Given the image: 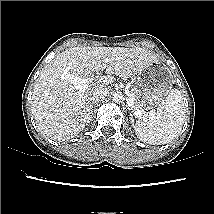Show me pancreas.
Masks as SVG:
<instances>
[{
    "mask_svg": "<svg viewBox=\"0 0 214 214\" xmlns=\"http://www.w3.org/2000/svg\"><path fill=\"white\" fill-rule=\"evenodd\" d=\"M132 97L134 98V92H132ZM130 107H131V109H132L133 112H135V111H137V110L140 109L139 107H137V106L135 105V103H134L132 106H130Z\"/></svg>",
    "mask_w": 214,
    "mask_h": 214,
    "instance_id": "pancreas-1",
    "label": "pancreas"
}]
</instances>
